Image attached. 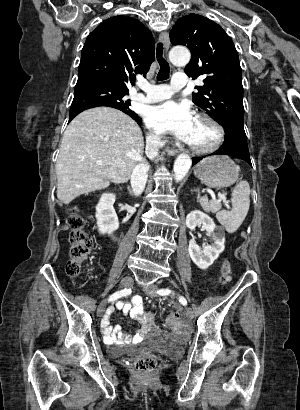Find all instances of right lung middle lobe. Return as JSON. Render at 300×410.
<instances>
[{"label": "right lung middle lobe", "mask_w": 300, "mask_h": 410, "mask_svg": "<svg viewBox=\"0 0 300 410\" xmlns=\"http://www.w3.org/2000/svg\"><path fill=\"white\" fill-rule=\"evenodd\" d=\"M128 94L129 92L118 90L105 84L94 82L77 83L70 113L96 106H109L133 112L129 108L130 101L124 99V96Z\"/></svg>", "instance_id": "1"}]
</instances>
